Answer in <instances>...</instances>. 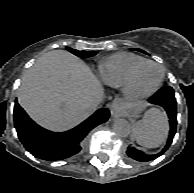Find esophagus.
I'll return each mask as SVG.
<instances>
[{"label": "esophagus", "mask_w": 194, "mask_h": 193, "mask_svg": "<svg viewBox=\"0 0 194 193\" xmlns=\"http://www.w3.org/2000/svg\"><path fill=\"white\" fill-rule=\"evenodd\" d=\"M109 108L112 115H118L123 108V103L120 99H115L110 103Z\"/></svg>", "instance_id": "1"}]
</instances>
